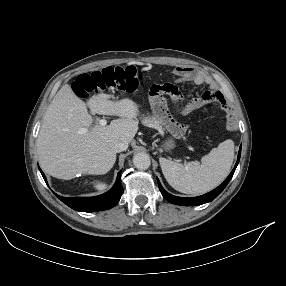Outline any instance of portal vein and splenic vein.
I'll return each mask as SVG.
<instances>
[{"label":"portal vein and splenic vein","instance_id":"obj_1","mask_svg":"<svg viewBox=\"0 0 286 286\" xmlns=\"http://www.w3.org/2000/svg\"><path fill=\"white\" fill-rule=\"evenodd\" d=\"M107 124V121L105 120V119H101L100 121H99V125L100 126H105Z\"/></svg>","mask_w":286,"mask_h":286}]
</instances>
